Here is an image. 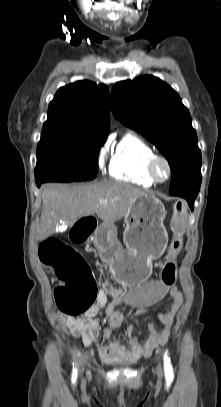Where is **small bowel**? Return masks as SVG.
<instances>
[{
  "label": "small bowel",
  "mask_w": 221,
  "mask_h": 407,
  "mask_svg": "<svg viewBox=\"0 0 221 407\" xmlns=\"http://www.w3.org/2000/svg\"><path fill=\"white\" fill-rule=\"evenodd\" d=\"M99 281L101 287L96 296L97 304L89 309L88 316L82 318L67 315L65 317L66 325L73 336L82 339L87 346H94L101 321L105 326V342L97 346L100 357L105 360L130 362H134L142 356L150 355L156 346L167 340L182 303V294L176 286H174L173 292H165L171 297V305L167 311L159 313L161 325L149 324L150 333L144 342H140L137 337L130 336L128 345H124L118 339H112V333L124 320L123 315L115 311L114 307L119 304H127L128 295L123 293V288L127 285L114 286L103 278H100ZM108 296L112 297L110 303ZM143 312L137 311L136 316Z\"/></svg>",
  "instance_id": "obj_1"
}]
</instances>
